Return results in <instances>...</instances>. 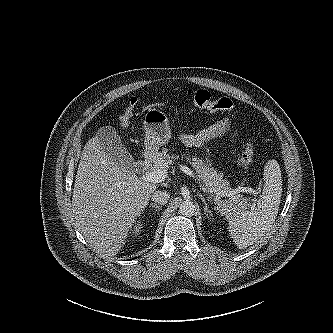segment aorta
I'll return each instance as SVG.
<instances>
[{"label":"aorta","instance_id":"1","mask_svg":"<svg viewBox=\"0 0 333 333\" xmlns=\"http://www.w3.org/2000/svg\"><path fill=\"white\" fill-rule=\"evenodd\" d=\"M196 211V207L190 200L183 201L179 206V212L185 216H193Z\"/></svg>","mask_w":333,"mask_h":333}]
</instances>
